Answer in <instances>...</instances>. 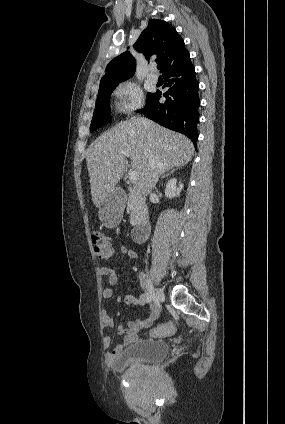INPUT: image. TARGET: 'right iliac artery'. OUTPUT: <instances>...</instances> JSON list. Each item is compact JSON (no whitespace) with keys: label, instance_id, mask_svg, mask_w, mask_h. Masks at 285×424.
I'll return each mask as SVG.
<instances>
[{"label":"right iliac artery","instance_id":"right-iliac-artery-1","mask_svg":"<svg viewBox=\"0 0 285 424\" xmlns=\"http://www.w3.org/2000/svg\"><path fill=\"white\" fill-rule=\"evenodd\" d=\"M143 278L145 279V284L148 291L149 303L153 301L156 302L155 293H154L152 285L150 284V280L148 279V277H146L145 274H143Z\"/></svg>","mask_w":285,"mask_h":424}]
</instances>
